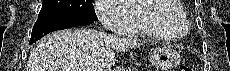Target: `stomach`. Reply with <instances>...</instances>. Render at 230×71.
Instances as JSON below:
<instances>
[{"label": "stomach", "instance_id": "0dacf381", "mask_svg": "<svg viewBox=\"0 0 230 71\" xmlns=\"http://www.w3.org/2000/svg\"><path fill=\"white\" fill-rule=\"evenodd\" d=\"M151 62L162 70L168 71L179 63V55L170 48H157L150 53Z\"/></svg>", "mask_w": 230, "mask_h": 71}]
</instances>
